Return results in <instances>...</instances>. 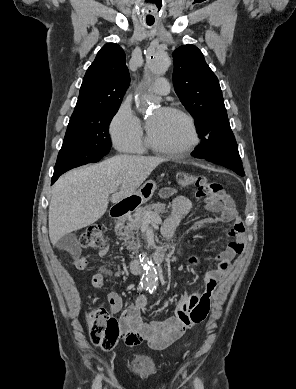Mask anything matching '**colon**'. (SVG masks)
<instances>
[{
  "mask_svg": "<svg viewBox=\"0 0 296 389\" xmlns=\"http://www.w3.org/2000/svg\"><path fill=\"white\" fill-rule=\"evenodd\" d=\"M178 182L183 186L195 185L196 197L205 200L207 206L219 205L225 199L222 185L205 176H192L183 172L178 175ZM79 243L86 248H104L105 238L102 228L98 225L87 227L79 235ZM206 315L205 311L194 312L191 320L199 323L205 319ZM87 322L92 343L104 350H111L121 336L119 322L104 307H96L91 310L87 316Z\"/></svg>",
  "mask_w": 296,
  "mask_h": 389,
  "instance_id": "1",
  "label": "colon"
}]
</instances>
